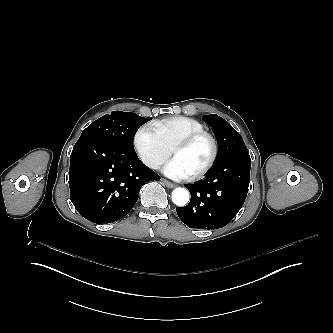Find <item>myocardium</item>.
I'll list each match as a JSON object with an SVG mask.
<instances>
[{"label":"myocardium","mask_w":333,"mask_h":333,"mask_svg":"<svg viewBox=\"0 0 333 333\" xmlns=\"http://www.w3.org/2000/svg\"><path fill=\"white\" fill-rule=\"evenodd\" d=\"M202 139H207L210 142L211 154H210V157L207 160V162L201 168H199L194 174H192L188 177L189 181H193V180H197V179L201 178L215 164L216 159L218 157V151H219L218 143H217L216 139L214 138V136L212 134H210L206 131H201V132H197V133L184 137L171 148L170 154L174 153L178 149L190 147Z\"/></svg>","instance_id":"f54148a6"}]
</instances>
